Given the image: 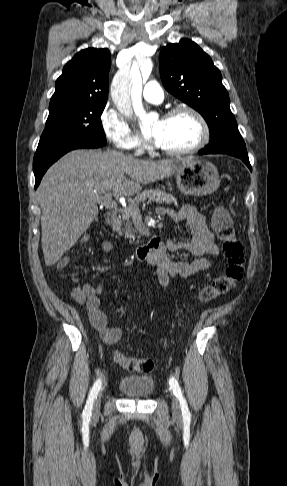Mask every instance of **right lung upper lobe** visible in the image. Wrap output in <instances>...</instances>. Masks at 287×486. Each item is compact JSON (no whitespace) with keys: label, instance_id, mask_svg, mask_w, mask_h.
<instances>
[{"label":"right lung upper lobe","instance_id":"cb5924a9","mask_svg":"<svg viewBox=\"0 0 287 486\" xmlns=\"http://www.w3.org/2000/svg\"><path fill=\"white\" fill-rule=\"evenodd\" d=\"M111 55L108 49L87 48L63 68L49 107L84 100H107Z\"/></svg>","mask_w":287,"mask_h":486}]
</instances>
